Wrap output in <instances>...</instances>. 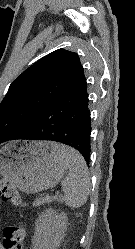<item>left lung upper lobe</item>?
<instances>
[{
    "label": "left lung upper lobe",
    "instance_id": "left-lung-upper-lobe-1",
    "mask_svg": "<svg viewBox=\"0 0 135 249\" xmlns=\"http://www.w3.org/2000/svg\"><path fill=\"white\" fill-rule=\"evenodd\" d=\"M86 80L78 54L58 49L10 85L0 103V144L30 129L37 113Z\"/></svg>",
    "mask_w": 135,
    "mask_h": 249
}]
</instances>
